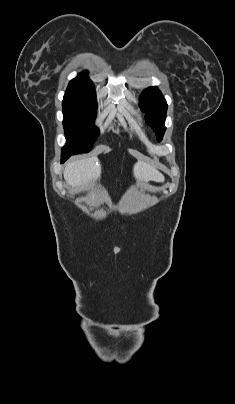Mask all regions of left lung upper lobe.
Instances as JSON below:
<instances>
[{
	"label": "left lung upper lobe",
	"mask_w": 235,
	"mask_h": 404,
	"mask_svg": "<svg viewBox=\"0 0 235 404\" xmlns=\"http://www.w3.org/2000/svg\"><path fill=\"white\" fill-rule=\"evenodd\" d=\"M140 107L147 113V123L156 132L157 140L161 141L166 130L164 126L167 103L157 87H149L140 96Z\"/></svg>",
	"instance_id": "5c2ea615"
}]
</instances>
